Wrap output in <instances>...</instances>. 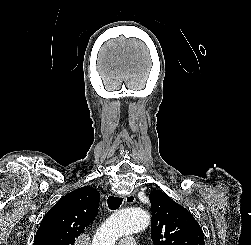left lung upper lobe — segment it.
I'll list each match as a JSON object with an SVG mask.
<instances>
[{"instance_id":"5c2ea615","label":"left lung upper lobe","mask_w":251,"mask_h":245,"mask_svg":"<svg viewBox=\"0 0 251 245\" xmlns=\"http://www.w3.org/2000/svg\"><path fill=\"white\" fill-rule=\"evenodd\" d=\"M151 238L154 245H205L203 231L193 215L166 193H150Z\"/></svg>"}]
</instances>
